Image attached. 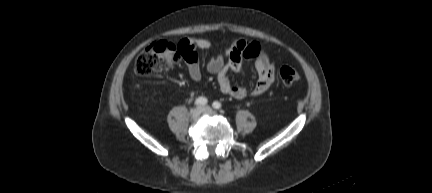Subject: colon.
Instances as JSON below:
<instances>
[{"label":"colon","mask_w":432,"mask_h":193,"mask_svg":"<svg viewBox=\"0 0 432 193\" xmlns=\"http://www.w3.org/2000/svg\"><path fill=\"white\" fill-rule=\"evenodd\" d=\"M180 61L177 47L167 41H157L145 48L136 58L134 70L141 76H150L175 67ZM279 77L284 85H292L301 78L299 72L291 67L283 66Z\"/></svg>","instance_id":"obj_1"}]
</instances>
